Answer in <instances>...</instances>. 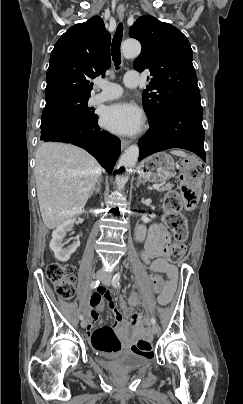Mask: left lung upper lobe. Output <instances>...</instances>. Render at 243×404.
<instances>
[{"mask_svg": "<svg viewBox=\"0 0 243 404\" xmlns=\"http://www.w3.org/2000/svg\"><path fill=\"white\" fill-rule=\"evenodd\" d=\"M129 35L142 44L134 68L140 72L149 69L153 77L143 94L150 123L157 122L171 107L201 106L192 49L180 30L146 15L130 27Z\"/></svg>", "mask_w": 243, "mask_h": 404, "instance_id": "1", "label": "left lung upper lobe"}]
</instances>
